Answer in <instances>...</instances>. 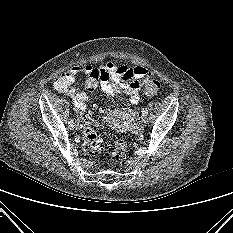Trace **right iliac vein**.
I'll return each mask as SVG.
<instances>
[{
  "label": "right iliac vein",
  "instance_id": "1",
  "mask_svg": "<svg viewBox=\"0 0 233 233\" xmlns=\"http://www.w3.org/2000/svg\"><path fill=\"white\" fill-rule=\"evenodd\" d=\"M75 128H76V130H79V129H80V124H79V122L76 123Z\"/></svg>",
  "mask_w": 233,
  "mask_h": 233
}]
</instances>
